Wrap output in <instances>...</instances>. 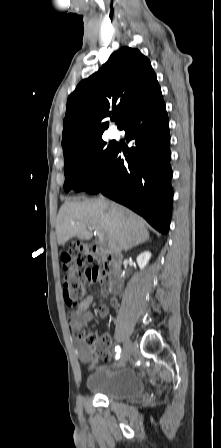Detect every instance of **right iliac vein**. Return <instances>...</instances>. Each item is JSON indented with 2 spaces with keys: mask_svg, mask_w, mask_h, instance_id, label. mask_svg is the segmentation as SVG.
Instances as JSON below:
<instances>
[{
  "mask_svg": "<svg viewBox=\"0 0 221 448\" xmlns=\"http://www.w3.org/2000/svg\"><path fill=\"white\" fill-rule=\"evenodd\" d=\"M134 349H135V347L132 344V342L129 339L125 340L124 345H123V351H122L121 358L119 361V366H122L127 362V360L130 358V355L134 351Z\"/></svg>",
  "mask_w": 221,
  "mask_h": 448,
  "instance_id": "right-iliac-vein-1",
  "label": "right iliac vein"
}]
</instances>
